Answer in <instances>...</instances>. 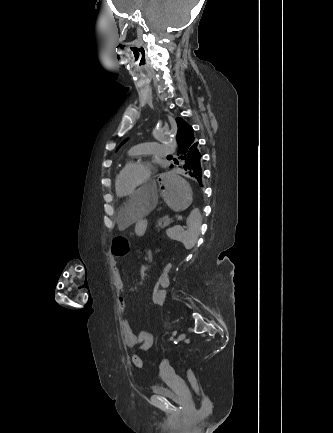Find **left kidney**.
Wrapping results in <instances>:
<instances>
[{
  "label": "left kidney",
  "mask_w": 333,
  "mask_h": 433,
  "mask_svg": "<svg viewBox=\"0 0 333 433\" xmlns=\"http://www.w3.org/2000/svg\"><path fill=\"white\" fill-rule=\"evenodd\" d=\"M172 229H173V228H170L169 230H167V232L170 231V230H172Z\"/></svg>",
  "instance_id": "5707ae66"
}]
</instances>
